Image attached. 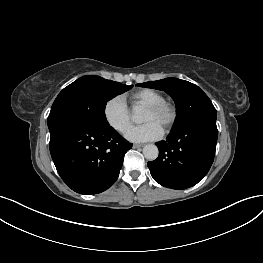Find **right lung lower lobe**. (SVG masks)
<instances>
[{
    "label": "right lung lower lobe",
    "instance_id": "1",
    "mask_svg": "<svg viewBox=\"0 0 263 263\" xmlns=\"http://www.w3.org/2000/svg\"><path fill=\"white\" fill-rule=\"evenodd\" d=\"M50 153L66 185L80 194H97L118 178L132 144L110 125L61 121L49 127Z\"/></svg>",
    "mask_w": 263,
    "mask_h": 263
}]
</instances>
